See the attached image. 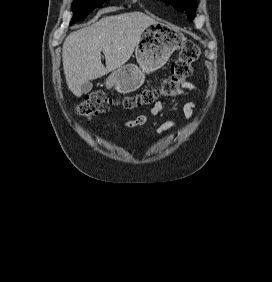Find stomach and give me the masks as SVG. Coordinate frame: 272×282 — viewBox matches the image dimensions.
Masks as SVG:
<instances>
[{
  "label": "stomach",
  "instance_id": "0dacf381",
  "mask_svg": "<svg viewBox=\"0 0 272 282\" xmlns=\"http://www.w3.org/2000/svg\"><path fill=\"white\" fill-rule=\"evenodd\" d=\"M184 36L169 25L153 23L142 33L135 50L138 66L126 64L111 73L106 84L119 93L136 91L145 80V74L160 69L183 42Z\"/></svg>",
  "mask_w": 272,
  "mask_h": 282
}]
</instances>
